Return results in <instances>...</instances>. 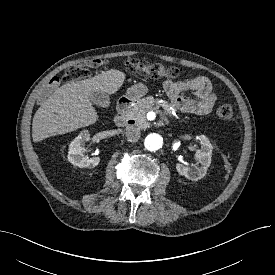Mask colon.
<instances>
[{
    "instance_id": "1",
    "label": "colon",
    "mask_w": 275,
    "mask_h": 275,
    "mask_svg": "<svg viewBox=\"0 0 275 275\" xmlns=\"http://www.w3.org/2000/svg\"><path fill=\"white\" fill-rule=\"evenodd\" d=\"M105 63L106 61L96 59L86 61L82 66L68 67L63 73L61 79L65 82H75L86 79L88 77L87 67H98ZM125 65L130 71L153 79H175L180 75V71L177 67L165 66L160 63H151L136 58L128 59L125 62ZM59 81V78H55L52 80V83L56 84ZM216 115L222 120L232 119L234 115L233 106L229 103L219 105L216 109Z\"/></svg>"
}]
</instances>
